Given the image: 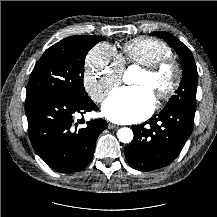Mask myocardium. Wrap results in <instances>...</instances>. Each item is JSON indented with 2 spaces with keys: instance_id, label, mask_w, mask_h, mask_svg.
<instances>
[{
  "instance_id": "obj_1",
  "label": "myocardium",
  "mask_w": 217,
  "mask_h": 217,
  "mask_svg": "<svg viewBox=\"0 0 217 217\" xmlns=\"http://www.w3.org/2000/svg\"><path fill=\"white\" fill-rule=\"evenodd\" d=\"M143 71L154 81H157L165 72L168 73L169 84L165 88L156 89L154 92L158 101H167L174 96L182 80V71L172 57L163 58L152 65L144 66Z\"/></svg>"
}]
</instances>
